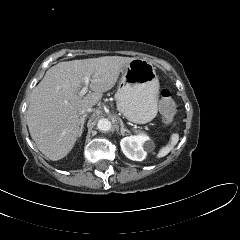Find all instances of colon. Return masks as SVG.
I'll return each mask as SVG.
<instances>
[{"label": "colon", "instance_id": "5ec220e1", "mask_svg": "<svg viewBox=\"0 0 240 240\" xmlns=\"http://www.w3.org/2000/svg\"><path fill=\"white\" fill-rule=\"evenodd\" d=\"M159 107H160V111L163 115L164 121L166 123L171 122L176 113V104H175L169 90L164 89L161 92V99H160Z\"/></svg>", "mask_w": 240, "mask_h": 240}]
</instances>
